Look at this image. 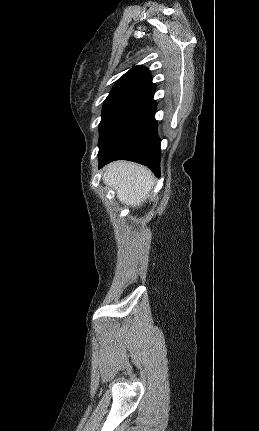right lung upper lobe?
I'll return each mask as SVG.
<instances>
[{
    "mask_svg": "<svg viewBox=\"0 0 259 431\" xmlns=\"http://www.w3.org/2000/svg\"><path fill=\"white\" fill-rule=\"evenodd\" d=\"M129 85H137L140 88L148 89L153 94L155 92V84L152 83L150 71L142 66H135L125 73L111 91H120Z\"/></svg>",
    "mask_w": 259,
    "mask_h": 431,
    "instance_id": "obj_1",
    "label": "right lung upper lobe"
}]
</instances>
